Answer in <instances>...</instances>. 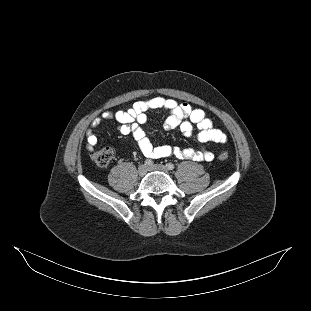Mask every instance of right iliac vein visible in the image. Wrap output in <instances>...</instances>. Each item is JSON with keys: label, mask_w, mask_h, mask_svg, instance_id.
Here are the masks:
<instances>
[{"label": "right iliac vein", "mask_w": 311, "mask_h": 311, "mask_svg": "<svg viewBox=\"0 0 311 311\" xmlns=\"http://www.w3.org/2000/svg\"><path fill=\"white\" fill-rule=\"evenodd\" d=\"M147 172V166L146 165H140L138 168V174L139 176H144Z\"/></svg>", "instance_id": "obj_1"}]
</instances>
